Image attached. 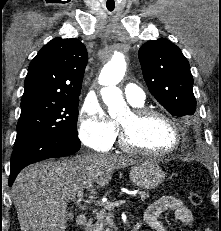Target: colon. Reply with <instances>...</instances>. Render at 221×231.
I'll use <instances>...</instances> for the list:
<instances>
[{
  "label": "colon",
  "mask_w": 221,
  "mask_h": 231,
  "mask_svg": "<svg viewBox=\"0 0 221 231\" xmlns=\"http://www.w3.org/2000/svg\"><path fill=\"white\" fill-rule=\"evenodd\" d=\"M188 199L189 202L195 207H198L202 204V197L197 192L190 191L188 194Z\"/></svg>",
  "instance_id": "colon-1"
}]
</instances>
